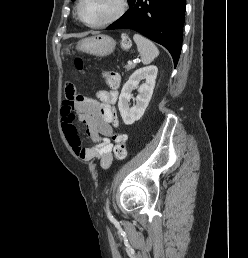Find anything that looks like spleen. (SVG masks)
I'll return each instance as SVG.
<instances>
[{
  "mask_svg": "<svg viewBox=\"0 0 248 258\" xmlns=\"http://www.w3.org/2000/svg\"><path fill=\"white\" fill-rule=\"evenodd\" d=\"M133 39L137 45V49L143 64L151 63L159 55L158 48L149 39L140 34H135Z\"/></svg>",
  "mask_w": 248,
  "mask_h": 258,
  "instance_id": "spleen-1",
  "label": "spleen"
}]
</instances>
